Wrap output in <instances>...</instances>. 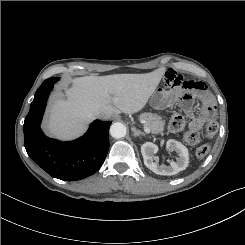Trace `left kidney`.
<instances>
[{"label":"left kidney","instance_id":"5707ae66","mask_svg":"<svg viewBox=\"0 0 245 245\" xmlns=\"http://www.w3.org/2000/svg\"><path fill=\"white\" fill-rule=\"evenodd\" d=\"M158 146L152 142H146L141 146V153L144 159L145 166L159 175H175L180 171L187 168L189 163L188 149L180 142L175 140H168L166 143V149L168 151H175L177 154L176 161H170L169 166H159L157 162H154V154L158 152Z\"/></svg>","mask_w":245,"mask_h":245}]
</instances>
